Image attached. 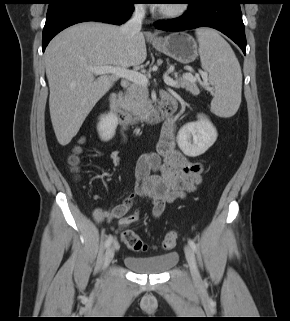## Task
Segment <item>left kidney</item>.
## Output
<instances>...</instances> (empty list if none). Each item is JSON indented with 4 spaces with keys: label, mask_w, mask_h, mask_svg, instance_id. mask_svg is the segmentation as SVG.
Wrapping results in <instances>:
<instances>
[{
    "label": "left kidney",
    "mask_w": 290,
    "mask_h": 321,
    "mask_svg": "<svg viewBox=\"0 0 290 321\" xmlns=\"http://www.w3.org/2000/svg\"><path fill=\"white\" fill-rule=\"evenodd\" d=\"M217 131L204 116L199 115L196 122L185 124L178 132L177 143L183 153L196 157L205 153L216 141Z\"/></svg>",
    "instance_id": "left-kidney-1"
}]
</instances>
